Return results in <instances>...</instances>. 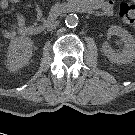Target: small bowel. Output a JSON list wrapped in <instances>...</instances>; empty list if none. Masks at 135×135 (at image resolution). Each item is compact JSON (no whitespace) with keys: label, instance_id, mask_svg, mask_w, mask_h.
Returning a JSON list of instances; mask_svg holds the SVG:
<instances>
[{"label":"small bowel","instance_id":"obj_1","mask_svg":"<svg viewBox=\"0 0 135 135\" xmlns=\"http://www.w3.org/2000/svg\"><path fill=\"white\" fill-rule=\"evenodd\" d=\"M20 0H0V7L7 9L11 4L18 3ZM90 11L98 15L110 16L113 13V2L112 0H85ZM26 22L25 19L18 15L16 22L13 27L3 30V35L6 38H13L17 34L26 33Z\"/></svg>","mask_w":135,"mask_h":135}]
</instances>
